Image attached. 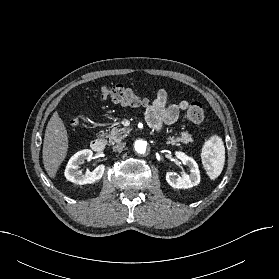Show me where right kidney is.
Wrapping results in <instances>:
<instances>
[{"label": "right kidney", "instance_id": "ca27d5eb", "mask_svg": "<svg viewBox=\"0 0 279 279\" xmlns=\"http://www.w3.org/2000/svg\"><path fill=\"white\" fill-rule=\"evenodd\" d=\"M93 158V152L89 149H84L75 153L68 161L65 169V177L67 180L79 184H93L99 181L105 170V165H99L93 171L87 170L84 174L78 170L80 165L85 161H90Z\"/></svg>", "mask_w": 279, "mask_h": 279}]
</instances>
